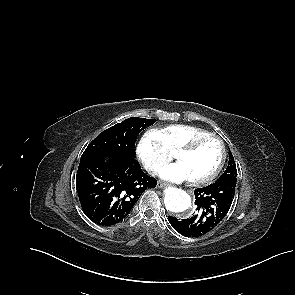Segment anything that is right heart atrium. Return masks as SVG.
<instances>
[{"label": "right heart atrium", "mask_w": 295, "mask_h": 295, "mask_svg": "<svg viewBox=\"0 0 295 295\" xmlns=\"http://www.w3.org/2000/svg\"><path fill=\"white\" fill-rule=\"evenodd\" d=\"M136 153L144 168L151 175L158 174L170 158L169 152L155 131H148L140 138Z\"/></svg>", "instance_id": "d8ad5b80"}]
</instances>
